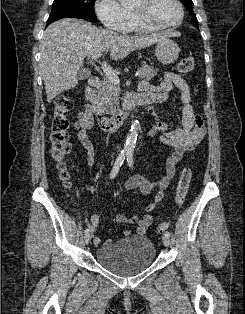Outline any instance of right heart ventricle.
Masks as SVG:
<instances>
[{
  "instance_id": "e07e8e85",
  "label": "right heart ventricle",
  "mask_w": 245,
  "mask_h": 314,
  "mask_svg": "<svg viewBox=\"0 0 245 314\" xmlns=\"http://www.w3.org/2000/svg\"><path fill=\"white\" fill-rule=\"evenodd\" d=\"M127 12H128V21H127L126 27L123 30V32H131V31L141 32V31L152 30L151 28L145 27V26L137 23L134 19V16H133L131 9H127Z\"/></svg>"
}]
</instances>
